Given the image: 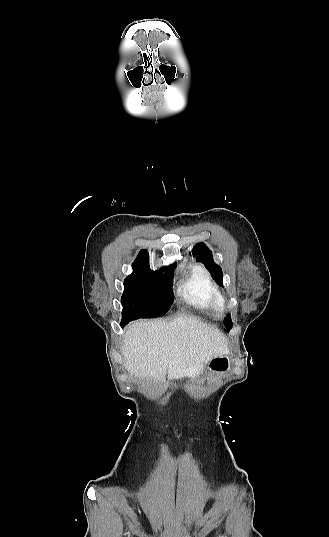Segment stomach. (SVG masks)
<instances>
[{
    "mask_svg": "<svg viewBox=\"0 0 329 537\" xmlns=\"http://www.w3.org/2000/svg\"><path fill=\"white\" fill-rule=\"evenodd\" d=\"M230 368V357L226 355H221L214 357L209 361L205 367V371L225 373Z\"/></svg>",
    "mask_w": 329,
    "mask_h": 537,
    "instance_id": "obj_1",
    "label": "stomach"
}]
</instances>
